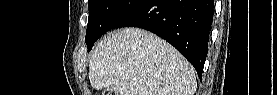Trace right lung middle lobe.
<instances>
[{
    "mask_svg": "<svg viewBox=\"0 0 277 95\" xmlns=\"http://www.w3.org/2000/svg\"><path fill=\"white\" fill-rule=\"evenodd\" d=\"M142 2L143 0H88L89 18L85 37L88 51L101 35L114 28Z\"/></svg>",
    "mask_w": 277,
    "mask_h": 95,
    "instance_id": "dd1d6c3e",
    "label": "right lung middle lobe"
}]
</instances>
